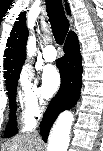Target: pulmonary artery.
<instances>
[{"label": "pulmonary artery", "instance_id": "pulmonary-artery-1", "mask_svg": "<svg viewBox=\"0 0 103 151\" xmlns=\"http://www.w3.org/2000/svg\"><path fill=\"white\" fill-rule=\"evenodd\" d=\"M43 57L46 61L52 62L57 58V52L53 45H47L43 49Z\"/></svg>", "mask_w": 103, "mask_h": 151}]
</instances>
